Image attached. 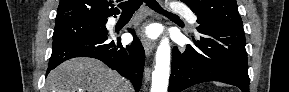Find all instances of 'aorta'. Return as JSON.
Masks as SVG:
<instances>
[{"mask_svg": "<svg viewBox=\"0 0 289 92\" xmlns=\"http://www.w3.org/2000/svg\"><path fill=\"white\" fill-rule=\"evenodd\" d=\"M170 44L163 37L156 51V64L152 73L151 92H167L170 73Z\"/></svg>", "mask_w": 289, "mask_h": 92, "instance_id": "1", "label": "aorta"}]
</instances>
